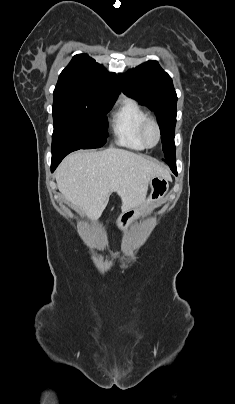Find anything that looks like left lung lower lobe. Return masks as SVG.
Segmentation results:
<instances>
[{
    "instance_id": "left-lung-lower-lobe-1",
    "label": "left lung lower lobe",
    "mask_w": 235,
    "mask_h": 404,
    "mask_svg": "<svg viewBox=\"0 0 235 404\" xmlns=\"http://www.w3.org/2000/svg\"><path fill=\"white\" fill-rule=\"evenodd\" d=\"M166 163L170 166L172 172L177 176L176 162L166 161Z\"/></svg>"
}]
</instances>
